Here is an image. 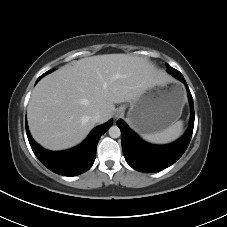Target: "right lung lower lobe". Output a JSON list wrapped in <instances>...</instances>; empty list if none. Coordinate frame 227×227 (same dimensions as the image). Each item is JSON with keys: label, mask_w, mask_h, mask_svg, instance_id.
Instances as JSON below:
<instances>
[{"label": "right lung lower lobe", "mask_w": 227, "mask_h": 227, "mask_svg": "<svg viewBox=\"0 0 227 227\" xmlns=\"http://www.w3.org/2000/svg\"><path fill=\"white\" fill-rule=\"evenodd\" d=\"M40 76L37 82L40 80ZM112 125V121L94 128L88 138L79 146L59 152L45 150L39 146L31 137L27 121L26 133L30 146L40 160V162L54 173L63 176H76L89 170L94 163L96 157V148L98 141Z\"/></svg>", "instance_id": "98d812e1"}]
</instances>
